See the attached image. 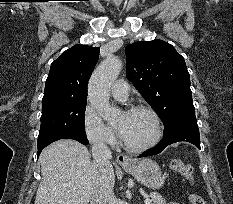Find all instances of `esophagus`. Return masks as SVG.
Wrapping results in <instances>:
<instances>
[{
    "instance_id": "34e87169",
    "label": "esophagus",
    "mask_w": 233,
    "mask_h": 204,
    "mask_svg": "<svg viewBox=\"0 0 233 204\" xmlns=\"http://www.w3.org/2000/svg\"><path fill=\"white\" fill-rule=\"evenodd\" d=\"M117 162L121 166H129L132 164V158L128 155L120 154L117 156Z\"/></svg>"
}]
</instances>
